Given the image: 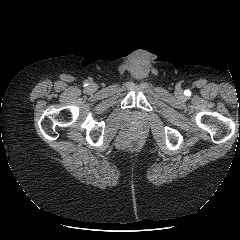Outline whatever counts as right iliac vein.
Returning a JSON list of instances; mask_svg holds the SVG:
<instances>
[{
	"label": "right iliac vein",
	"instance_id": "1",
	"mask_svg": "<svg viewBox=\"0 0 240 240\" xmlns=\"http://www.w3.org/2000/svg\"><path fill=\"white\" fill-rule=\"evenodd\" d=\"M89 88H90L91 90H95V89H96V86H95L94 84H91V85L89 86Z\"/></svg>",
	"mask_w": 240,
	"mask_h": 240
}]
</instances>
